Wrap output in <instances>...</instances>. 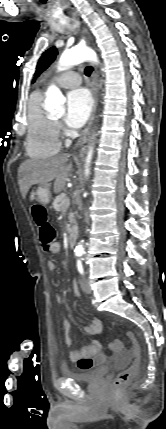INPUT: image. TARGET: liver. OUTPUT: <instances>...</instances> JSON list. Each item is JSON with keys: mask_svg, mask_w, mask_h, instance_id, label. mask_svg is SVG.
<instances>
[{"mask_svg": "<svg viewBox=\"0 0 166 429\" xmlns=\"http://www.w3.org/2000/svg\"><path fill=\"white\" fill-rule=\"evenodd\" d=\"M68 157L67 154H63L49 159L24 161L18 169V182L22 197L26 198L33 185H47L52 180H55L54 191L56 193L63 190L72 170V166L66 164Z\"/></svg>", "mask_w": 166, "mask_h": 429, "instance_id": "liver-1", "label": "liver"}]
</instances>
